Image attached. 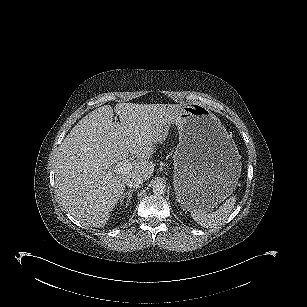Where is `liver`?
Masks as SVG:
<instances>
[{
    "instance_id": "6515ba94",
    "label": "liver",
    "mask_w": 307,
    "mask_h": 307,
    "mask_svg": "<svg viewBox=\"0 0 307 307\" xmlns=\"http://www.w3.org/2000/svg\"><path fill=\"white\" fill-rule=\"evenodd\" d=\"M178 104L118 103L82 118L63 140L55 159V184L62 206L92 227H104L128 179L152 176L149 161L160 141L159 129L177 116ZM114 112L120 123L113 121ZM130 155L132 168L107 177V170Z\"/></svg>"
}]
</instances>
